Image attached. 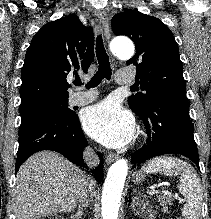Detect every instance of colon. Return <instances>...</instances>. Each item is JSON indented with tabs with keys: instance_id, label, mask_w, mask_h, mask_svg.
<instances>
[{
	"instance_id": "obj_1",
	"label": "colon",
	"mask_w": 211,
	"mask_h": 219,
	"mask_svg": "<svg viewBox=\"0 0 211 219\" xmlns=\"http://www.w3.org/2000/svg\"><path fill=\"white\" fill-rule=\"evenodd\" d=\"M43 219H62L61 217H46V218H43ZM178 219H181V218H178Z\"/></svg>"
}]
</instances>
